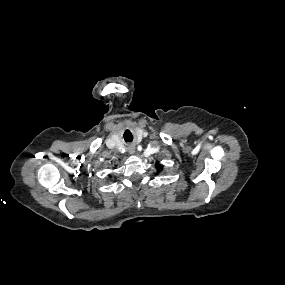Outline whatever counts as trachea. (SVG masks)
<instances>
[{"label": "trachea", "mask_w": 285, "mask_h": 285, "mask_svg": "<svg viewBox=\"0 0 285 285\" xmlns=\"http://www.w3.org/2000/svg\"><path fill=\"white\" fill-rule=\"evenodd\" d=\"M124 140H125L126 142H131V141H133V136H132V134H131L130 131H128V130L125 131V133H124Z\"/></svg>", "instance_id": "1"}]
</instances>
